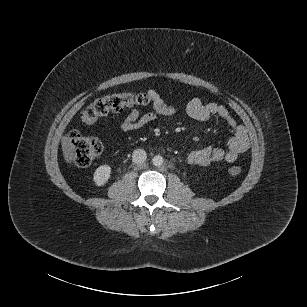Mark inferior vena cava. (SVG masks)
Masks as SVG:
<instances>
[{"instance_id":"inferior-vena-cava-1","label":"inferior vena cava","mask_w":307,"mask_h":307,"mask_svg":"<svg viewBox=\"0 0 307 307\" xmlns=\"http://www.w3.org/2000/svg\"><path fill=\"white\" fill-rule=\"evenodd\" d=\"M147 158L146 152L143 149H136L132 154V161L136 164L143 163Z\"/></svg>"}]
</instances>
